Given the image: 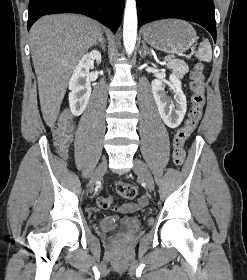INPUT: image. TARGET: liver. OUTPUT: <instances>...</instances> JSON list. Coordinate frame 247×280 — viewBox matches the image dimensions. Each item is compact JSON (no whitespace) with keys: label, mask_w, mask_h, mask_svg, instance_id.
<instances>
[{"label":"liver","mask_w":247,"mask_h":280,"mask_svg":"<svg viewBox=\"0 0 247 280\" xmlns=\"http://www.w3.org/2000/svg\"><path fill=\"white\" fill-rule=\"evenodd\" d=\"M101 33L98 22L73 14L46 15L31 27L30 47L40 106L49 127L57 120L77 62Z\"/></svg>","instance_id":"obj_1"}]
</instances>
